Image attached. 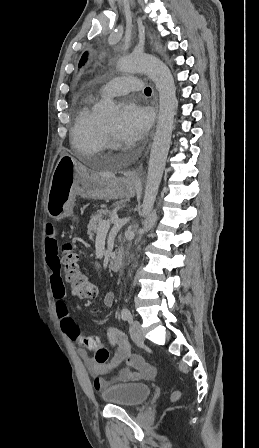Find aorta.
<instances>
[{"label": "aorta", "mask_w": 259, "mask_h": 448, "mask_svg": "<svg viewBox=\"0 0 259 448\" xmlns=\"http://www.w3.org/2000/svg\"><path fill=\"white\" fill-rule=\"evenodd\" d=\"M118 69L122 73L147 74L159 92L158 122L150 152L142 205V215L146 218L154 206L170 148L177 106L176 88L169 68L154 56L146 54L126 56L118 62ZM101 111L111 116L117 112V107L108 99L102 103Z\"/></svg>", "instance_id": "obj_1"}]
</instances>
